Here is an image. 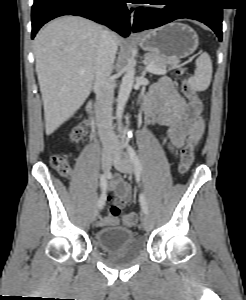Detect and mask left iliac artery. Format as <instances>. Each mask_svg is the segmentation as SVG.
I'll return each mask as SVG.
<instances>
[{"mask_svg": "<svg viewBox=\"0 0 246 300\" xmlns=\"http://www.w3.org/2000/svg\"><path fill=\"white\" fill-rule=\"evenodd\" d=\"M126 147H127V151L130 156V159H131L132 163L134 164L136 172L141 173L143 171V167H142L139 157L137 156L134 149L128 143H126ZM139 199H140V204H141L143 212L148 214V205H147L145 194L141 193Z\"/></svg>", "mask_w": 246, "mask_h": 300, "instance_id": "1", "label": "left iliac artery"}]
</instances>
